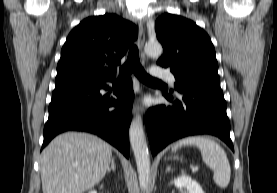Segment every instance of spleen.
<instances>
[{
	"instance_id": "1",
	"label": "spleen",
	"mask_w": 277,
	"mask_h": 193,
	"mask_svg": "<svg viewBox=\"0 0 277 193\" xmlns=\"http://www.w3.org/2000/svg\"><path fill=\"white\" fill-rule=\"evenodd\" d=\"M184 145H195L201 152L203 161L214 171V182L220 188L228 186L231 168L223 148L215 141L204 136H190L177 141L172 150Z\"/></svg>"
}]
</instances>
